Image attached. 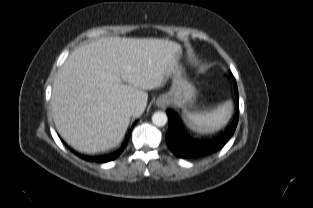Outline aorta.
Masks as SVG:
<instances>
[{
    "label": "aorta",
    "mask_w": 313,
    "mask_h": 208,
    "mask_svg": "<svg viewBox=\"0 0 313 208\" xmlns=\"http://www.w3.org/2000/svg\"><path fill=\"white\" fill-rule=\"evenodd\" d=\"M168 121V117L164 112L158 111L155 112L152 116V122L158 127L164 126Z\"/></svg>",
    "instance_id": "1"
}]
</instances>
